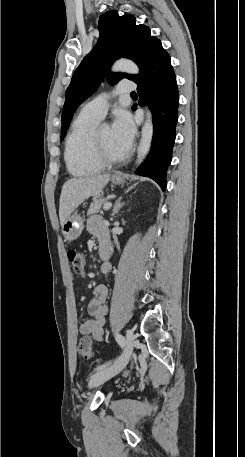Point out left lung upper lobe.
<instances>
[{"label": "left lung upper lobe", "mask_w": 245, "mask_h": 457, "mask_svg": "<svg viewBox=\"0 0 245 457\" xmlns=\"http://www.w3.org/2000/svg\"><path fill=\"white\" fill-rule=\"evenodd\" d=\"M98 29L100 36L97 45L75 70L66 90L61 139L77 107L97 89L103 75L108 73L116 59L130 58L141 68L147 57L162 46L160 40L151 35L148 26L136 25L133 15L119 16L117 11H109L101 15ZM137 77L115 73L108 75V81L113 85L123 78L135 81Z\"/></svg>", "instance_id": "left-lung-upper-lobe-1"}]
</instances>
